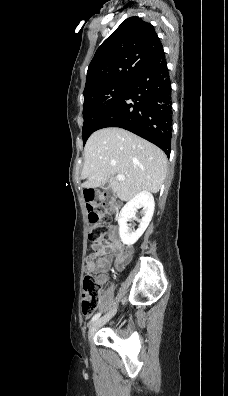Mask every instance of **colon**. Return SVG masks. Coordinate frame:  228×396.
I'll use <instances>...</instances> for the list:
<instances>
[{"instance_id": "colon-1", "label": "colon", "mask_w": 228, "mask_h": 396, "mask_svg": "<svg viewBox=\"0 0 228 396\" xmlns=\"http://www.w3.org/2000/svg\"><path fill=\"white\" fill-rule=\"evenodd\" d=\"M86 208L89 216L88 239L93 245H99L108 235L106 215L110 209V202L105 194L88 190L85 193ZM102 207L104 211H99ZM101 288L100 280L93 274H87L83 280L82 313L91 315L98 307Z\"/></svg>"}]
</instances>
